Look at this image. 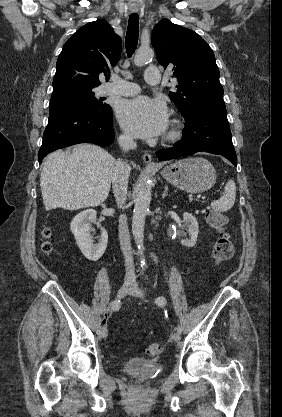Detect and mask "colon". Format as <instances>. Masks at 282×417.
I'll return each instance as SVG.
<instances>
[{
    "mask_svg": "<svg viewBox=\"0 0 282 417\" xmlns=\"http://www.w3.org/2000/svg\"><path fill=\"white\" fill-rule=\"evenodd\" d=\"M206 221L210 228L217 233L214 246H213V258L216 265L228 262L234 252V245L230 236L226 233V227L228 223L227 216L216 210H209L205 215ZM45 237H50V231L45 230ZM45 252L50 251V247L44 245ZM163 350V344L160 342H153L149 344L146 348V354L148 357L155 358L161 354Z\"/></svg>",
    "mask_w": 282,
    "mask_h": 417,
    "instance_id": "5ec220e1",
    "label": "colon"
}]
</instances>
